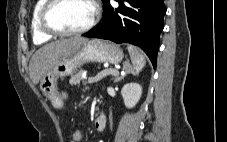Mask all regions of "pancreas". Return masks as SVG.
<instances>
[{"label":"pancreas","instance_id":"pancreas-1","mask_svg":"<svg viewBox=\"0 0 227 142\" xmlns=\"http://www.w3.org/2000/svg\"><path fill=\"white\" fill-rule=\"evenodd\" d=\"M83 74H84V71L83 70H80L78 71L75 75L71 76L70 80H69V83L74 86V85H78L80 84V82H84L83 80Z\"/></svg>","mask_w":227,"mask_h":142}]
</instances>
